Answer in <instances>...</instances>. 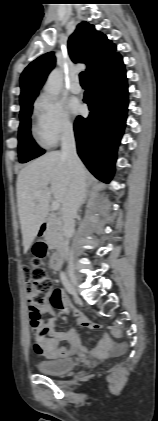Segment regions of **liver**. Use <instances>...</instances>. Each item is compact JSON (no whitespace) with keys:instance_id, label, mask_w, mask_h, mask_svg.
<instances>
[{"instance_id":"liver-1","label":"liver","mask_w":158,"mask_h":421,"mask_svg":"<svg viewBox=\"0 0 158 421\" xmlns=\"http://www.w3.org/2000/svg\"><path fill=\"white\" fill-rule=\"evenodd\" d=\"M69 184L67 159L59 151L40 156L19 172L17 204L25 252L49 213L51 198L63 203ZM39 191L43 193L37 197Z\"/></svg>"}]
</instances>
